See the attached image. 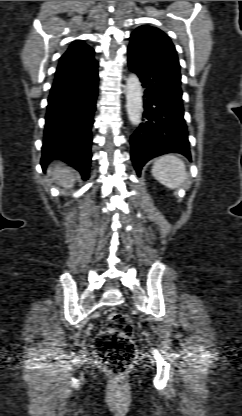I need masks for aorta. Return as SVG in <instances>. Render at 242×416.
<instances>
[{"instance_id": "aorta-1", "label": "aorta", "mask_w": 242, "mask_h": 416, "mask_svg": "<svg viewBox=\"0 0 242 416\" xmlns=\"http://www.w3.org/2000/svg\"><path fill=\"white\" fill-rule=\"evenodd\" d=\"M142 96L143 92L139 78L135 74H130L126 81V109L128 119L134 126H138L141 122Z\"/></svg>"}]
</instances>
